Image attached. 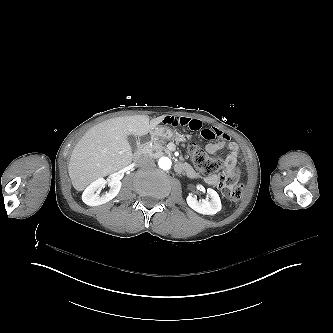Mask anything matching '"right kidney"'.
I'll use <instances>...</instances> for the list:
<instances>
[{
    "label": "right kidney",
    "instance_id": "right-kidney-1",
    "mask_svg": "<svg viewBox=\"0 0 333 333\" xmlns=\"http://www.w3.org/2000/svg\"><path fill=\"white\" fill-rule=\"evenodd\" d=\"M106 184H108L110 190L109 192L100 196L97 191L104 188ZM120 188H121V181L115 177L109 178L108 180L99 178L94 182H92L84 190L82 194V201L89 206H98L105 204L117 196V194L120 191Z\"/></svg>",
    "mask_w": 333,
    "mask_h": 333
}]
</instances>
